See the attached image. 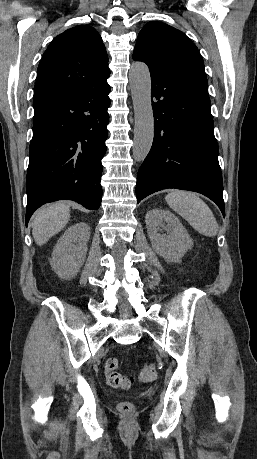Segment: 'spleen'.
<instances>
[{"label":"spleen","instance_id":"1","mask_svg":"<svg viewBox=\"0 0 257 459\" xmlns=\"http://www.w3.org/2000/svg\"><path fill=\"white\" fill-rule=\"evenodd\" d=\"M165 200L172 210L181 215L195 230L204 236L214 237L218 223L209 206L195 193L173 190Z\"/></svg>","mask_w":257,"mask_h":459}]
</instances>
